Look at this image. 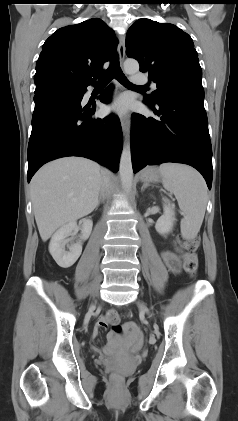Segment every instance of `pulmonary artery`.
<instances>
[{"instance_id": "e3ab8cb5", "label": "pulmonary artery", "mask_w": 238, "mask_h": 421, "mask_svg": "<svg viewBox=\"0 0 238 421\" xmlns=\"http://www.w3.org/2000/svg\"><path fill=\"white\" fill-rule=\"evenodd\" d=\"M132 80L135 84H138V85H143V84L148 83V79L145 76L140 75V74L133 75ZM151 88L154 90L156 86L154 84H151Z\"/></svg>"}]
</instances>
